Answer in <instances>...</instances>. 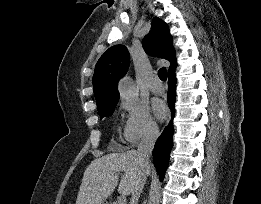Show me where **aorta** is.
<instances>
[{"mask_svg":"<svg viewBox=\"0 0 261 204\" xmlns=\"http://www.w3.org/2000/svg\"><path fill=\"white\" fill-rule=\"evenodd\" d=\"M120 94L125 99L134 100L138 97V88L134 85L132 79L126 76L120 82Z\"/></svg>","mask_w":261,"mask_h":204,"instance_id":"1","label":"aorta"}]
</instances>
